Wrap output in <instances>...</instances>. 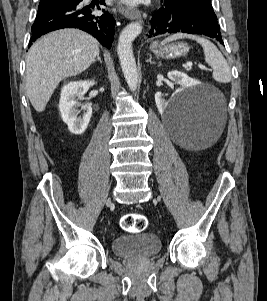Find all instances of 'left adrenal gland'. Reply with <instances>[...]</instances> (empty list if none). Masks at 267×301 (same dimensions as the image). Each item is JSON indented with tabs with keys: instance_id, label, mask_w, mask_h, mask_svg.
<instances>
[{
	"instance_id": "left-adrenal-gland-1",
	"label": "left adrenal gland",
	"mask_w": 267,
	"mask_h": 301,
	"mask_svg": "<svg viewBox=\"0 0 267 301\" xmlns=\"http://www.w3.org/2000/svg\"><path fill=\"white\" fill-rule=\"evenodd\" d=\"M147 62L151 63V64H154L155 62L152 61V56L149 55V59L147 60Z\"/></svg>"
}]
</instances>
